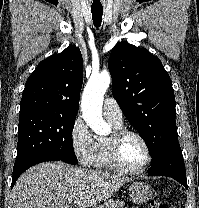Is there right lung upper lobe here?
<instances>
[{
	"instance_id": "obj_1",
	"label": "right lung upper lobe",
	"mask_w": 199,
	"mask_h": 208,
	"mask_svg": "<svg viewBox=\"0 0 199 208\" xmlns=\"http://www.w3.org/2000/svg\"><path fill=\"white\" fill-rule=\"evenodd\" d=\"M83 82V60L78 47L41 61L27 79L20 113L41 111L77 115Z\"/></svg>"
}]
</instances>
